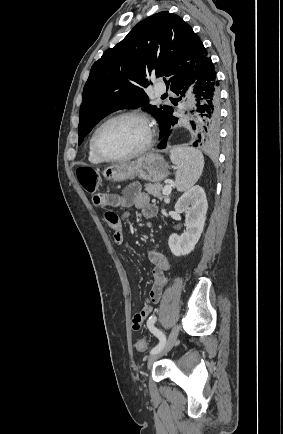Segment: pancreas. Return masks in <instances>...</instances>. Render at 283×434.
Segmentation results:
<instances>
[{
  "mask_svg": "<svg viewBox=\"0 0 283 434\" xmlns=\"http://www.w3.org/2000/svg\"><path fill=\"white\" fill-rule=\"evenodd\" d=\"M145 186V191L157 198L163 199L165 198V196L162 194V190H163V186L161 183H147L144 185Z\"/></svg>",
  "mask_w": 283,
  "mask_h": 434,
  "instance_id": "1",
  "label": "pancreas"
}]
</instances>
